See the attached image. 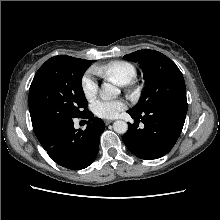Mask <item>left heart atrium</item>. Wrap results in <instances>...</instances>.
I'll return each instance as SVG.
<instances>
[{"instance_id":"left-heart-atrium-1","label":"left heart atrium","mask_w":220,"mask_h":220,"mask_svg":"<svg viewBox=\"0 0 220 220\" xmlns=\"http://www.w3.org/2000/svg\"><path fill=\"white\" fill-rule=\"evenodd\" d=\"M125 107L123 100L99 99L92 104L94 114L101 118H114Z\"/></svg>"}]
</instances>
